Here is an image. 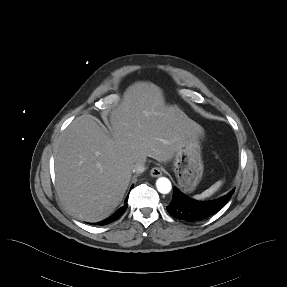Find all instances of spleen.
<instances>
[{
	"label": "spleen",
	"mask_w": 287,
	"mask_h": 287,
	"mask_svg": "<svg viewBox=\"0 0 287 287\" xmlns=\"http://www.w3.org/2000/svg\"><path fill=\"white\" fill-rule=\"evenodd\" d=\"M221 185H222V181H217L215 184H213L210 188H208L201 194L195 195L194 198L197 200L207 198L211 196L213 193H215L220 188Z\"/></svg>",
	"instance_id": "spleen-1"
}]
</instances>
